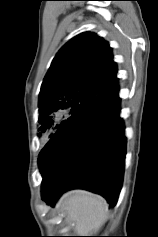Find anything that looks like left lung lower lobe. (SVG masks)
<instances>
[{
    "mask_svg": "<svg viewBox=\"0 0 158 237\" xmlns=\"http://www.w3.org/2000/svg\"><path fill=\"white\" fill-rule=\"evenodd\" d=\"M118 92L115 85L82 106L41 150L42 198L48 204L69 189L82 188L115 206L126 153Z\"/></svg>",
    "mask_w": 158,
    "mask_h": 237,
    "instance_id": "left-lung-lower-lobe-1",
    "label": "left lung lower lobe"
}]
</instances>
